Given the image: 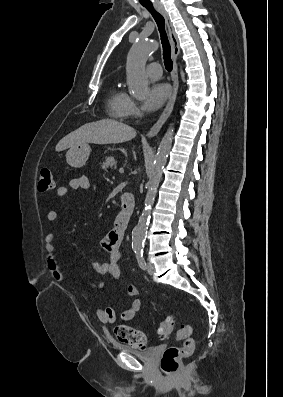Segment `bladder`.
<instances>
[{"label":"bladder","mask_w":283,"mask_h":397,"mask_svg":"<svg viewBox=\"0 0 283 397\" xmlns=\"http://www.w3.org/2000/svg\"><path fill=\"white\" fill-rule=\"evenodd\" d=\"M116 347L118 349H120L121 351L130 353L134 356H137V357H139L143 360H147V361L153 360L157 354V351H158L157 346H150L147 348L139 349V348H135V347L128 346V345L117 344Z\"/></svg>","instance_id":"obj_1"}]
</instances>
